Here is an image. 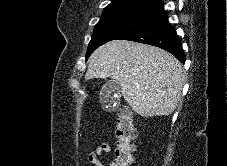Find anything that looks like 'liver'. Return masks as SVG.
<instances>
[{"label":"liver","instance_id":"obj_1","mask_svg":"<svg viewBox=\"0 0 227 166\" xmlns=\"http://www.w3.org/2000/svg\"><path fill=\"white\" fill-rule=\"evenodd\" d=\"M111 78L142 117L168 116L174 112L184 84L181 63L167 51L124 40H113L89 58L86 80Z\"/></svg>","mask_w":227,"mask_h":166}]
</instances>
